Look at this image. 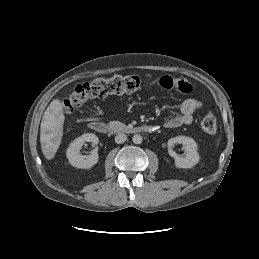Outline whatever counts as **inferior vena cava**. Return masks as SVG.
<instances>
[{
    "instance_id": "1",
    "label": "inferior vena cava",
    "mask_w": 259,
    "mask_h": 259,
    "mask_svg": "<svg viewBox=\"0 0 259 259\" xmlns=\"http://www.w3.org/2000/svg\"><path fill=\"white\" fill-rule=\"evenodd\" d=\"M126 140H127V135L124 134V133H118V134L115 136V142H116L117 144L124 143Z\"/></svg>"
}]
</instances>
